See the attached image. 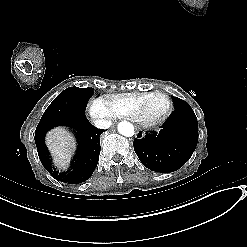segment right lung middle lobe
<instances>
[{
  "mask_svg": "<svg viewBox=\"0 0 247 247\" xmlns=\"http://www.w3.org/2000/svg\"><path fill=\"white\" fill-rule=\"evenodd\" d=\"M93 90V88L78 87L65 89L48 106L40 121L63 116L85 115V109Z\"/></svg>",
  "mask_w": 247,
  "mask_h": 247,
  "instance_id": "obj_1",
  "label": "right lung middle lobe"
}]
</instances>
